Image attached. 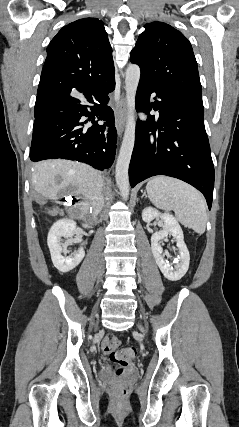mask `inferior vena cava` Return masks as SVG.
Segmentation results:
<instances>
[{"label":"inferior vena cava","instance_id":"1","mask_svg":"<svg viewBox=\"0 0 239 427\" xmlns=\"http://www.w3.org/2000/svg\"><path fill=\"white\" fill-rule=\"evenodd\" d=\"M102 190H103V180L102 178L99 180V184H98V189H97V193L95 195L94 198V203L96 205L97 211L100 212L103 204H104V198L102 195Z\"/></svg>","mask_w":239,"mask_h":427}]
</instances>
